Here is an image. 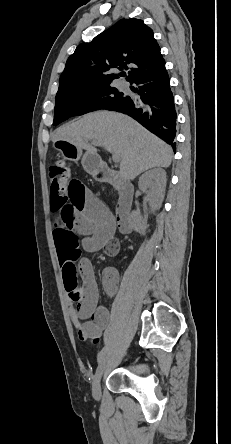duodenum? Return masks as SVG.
Returning <instances> with one entry per match:
<instances>
[{"instance_id":"410a0bca","label":"duodenum","mask_w":231,"mask_h":444,"mask_svg":"<svg viewBox=\"0 0 231 444\" xmlns=\"http://www.w3.org/2000/svg\"><path fill=\"white\" fill-rule=\"evenodd\" d=\"M97 176L102 180L116 185L120 192L116 212V223L122 234H129L132 230L131 208L134 200V187L120 173L111 169L106 164H102L97 172Z\"/></svg>"}]
</instances>
